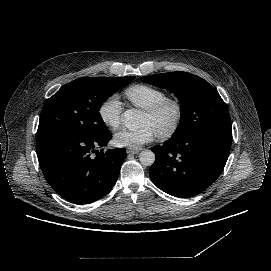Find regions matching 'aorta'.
<instances>
[{"mask_svg": "<svg viewBox=\"0 0 271 271\" xmlns=\"http://www.w3.org/2000/svg\"><path fill=\"white\" fill-rule=\"evenodd\" d=\"M124 124L129 130H137L143 120L140 111L129 109L123 113ZM140 163L144 166H151L155 161V154L151 150H144L139 154Z\"/></svg>", "mask_w": 271, "mask_h": 271, "instance_id": "obj_1", "label": "aorta"}]
</instances>
